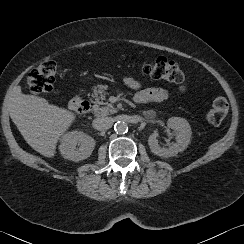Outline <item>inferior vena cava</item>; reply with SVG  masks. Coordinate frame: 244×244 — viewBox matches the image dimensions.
I'll return each instance as SVG.
<instances>
[{"label":"inferior vena cava","mask_w":244,"mask_h":244,"mask_svg":"<svg viewBox=\"0 0 244 244\" xmlns=\"http://www.w3.org/2000/svg\"><path fill=\"white\" fill-rule=\"evenodd\" d=\"M113 123L114 120L111 117L96 118L93 121L94 127L98 130H107L112 127Z\"/></svg>","instance_id":"obj_1"}]
</instances>
